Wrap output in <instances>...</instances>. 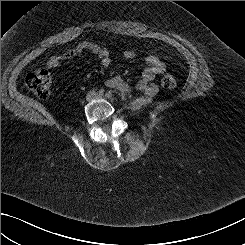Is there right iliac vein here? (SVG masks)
<instances>
[{
  "label": "right iliac vein",
  "instance_id": "63e3f726",
  "mask_svg": "<svg viewBox=\"0 0 245 245\" xmlns=\"http://www.w3.org/2000/svg\"><path fill=\"white\" fill-rule=\"evenodd\" d=\"M94 93L93 92H91V93H89L88 95H87V100L88 101H90V100H92L93 98H94Z\"/></svg>",
  "mask_w": 245,
  "mask_h": 245
}]
</instances>
